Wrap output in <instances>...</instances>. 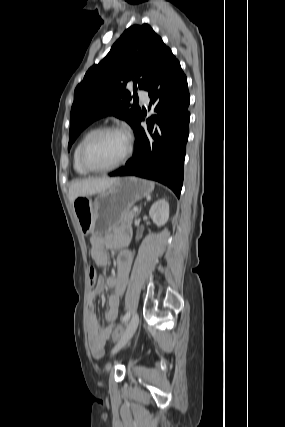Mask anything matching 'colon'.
Masks as SVG:
<instances>
[{"instance_id": "obj_1", "label": "colon", "mask_w": 285, "mask_h": 427, "mask_svg": "<svg viewBox=\"0 0 285 427\" xmlns=\"http://www.w3.org/2000/svg\"><path fill=\"white\" fill-rule=\"evenodd\" d=\"M96 277H97V273H96V269L94 267H89L88 268V284L91 288H93L96 284ZM122 335V330L120 328H116L113 332V337L115 339H119Z\"/></svg>"}]
</instances>
